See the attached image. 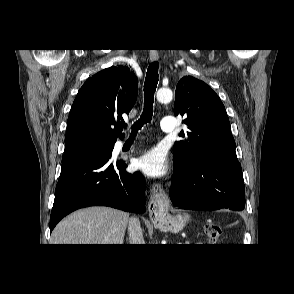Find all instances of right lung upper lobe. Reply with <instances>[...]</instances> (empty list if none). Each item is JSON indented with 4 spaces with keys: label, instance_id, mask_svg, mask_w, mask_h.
I'll return each mask as SVG.
<instances>
[{
    "label": "right lung upper lobe",
    "instance_id": "cb5924a9",
    "mask_svg": "<svg viewBox=\"0 0 294 294\" xmlns=\"http://www.w3.org/2000/svg\"><path fill=\"white\" fill-rule=\"evenodd\" d=\"M137 94V78L127 67L112 66L95 74L83 84L73 102L65 144L123 138L119 120L123 113L130 112Z\"/></svg>",
    "mask_w": 294,
    "mask_h": 294
}]
</instances>
